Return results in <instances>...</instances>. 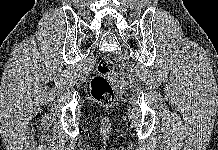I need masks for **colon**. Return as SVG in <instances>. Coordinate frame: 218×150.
Here are the masks:
<instances>
[{
  "label": "colon",
  "instance_id": "colon-1",
  "mask_svg": "<svg viewBox=\"0 0 218 150\" xmlns=\"http://www.w3.org/2000/svg\"><path fill=\"white\" fill-rule=\"evenodd\" d=\"M114 70V63L108 57L101 58L97 63V73L91 80L92 98L100 104L109 105L114 100L113 87L109 82V76Z\"/></svg>",
  "mask_w": 218,
  "mask_h": 150
}]
</instances>
